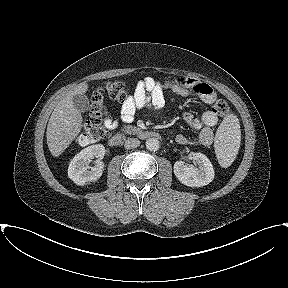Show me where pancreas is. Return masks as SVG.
Returning a JSON list of instances; mask_svg holds the SVG:
<instances>
[{"label": "pancreas", "mask_w": 288, "mask_h": 288, "mask_svg": "<svg viewBox=\"0 0 288 288\" xmlns=\"http://www.w3.org/2000/svg\"><path fill=\"white\" fill-rule=\"evenodd\" d=\"M139 130V128L132 126V125H125L122 129L123 132L125 133H135Z\"/></svg>", "instance_id": "pancreas-1"}]
</instances>
